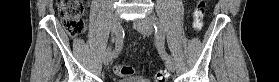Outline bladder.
<instances>
[{"label": "bladder", "instance_id": "31cf9c89", "mask_svg": "<svg viewBox=\"0 0 279 82\" xmlns=\"http://www.w3.org/2000/svg\"><path fill=\"white\" fill-rule=\"evenodd\" d=\"M118 82H151V81L143 77H133V78L122 79Z\"/></svg>", "mask_w": 279, "mask_h": 82}]
</instances>
